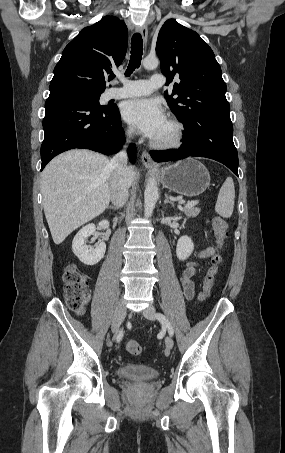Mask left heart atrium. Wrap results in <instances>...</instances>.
Instances as JSON below:
<instances>
[{
    "instance_id": "1",
    "label": "left heart atrium",
    "mask_w": 285,
    "mask_h": 453,
    "mask_svg": "<svg viewBox=\"0 0 285 453\" xmlns=\"http://www.w3.org/2000/svg\"><path fill=\"white\" fill-rule=\"evenodd\" d=\"M122 116L130 125L150 139L161 132L167 119L160 104L153 99L129 100L122 107Z\"/></svg>"
}]
</instances>
